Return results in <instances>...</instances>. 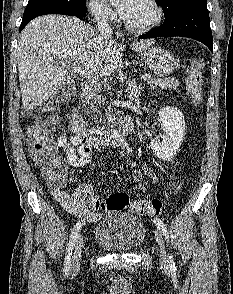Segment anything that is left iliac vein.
<instances>
[{
  "label": "left iliac vein",
  "instance_id": "4c4485c4",
  "mask_svg": "<svg viewBox=\"0 0 233 294\" xmlns=\"http://www.w3.org/2000/svg\"><path fill=\"white\" fill-rule=\"evenodd\" d=\"M156 242L159 246V261L162 267L168 266V256L165 248L164 238L162 232L157 228L154 231Z\"/></svg>",
  "mask_w": 233,
  "mask_h": 294
}]
</instances>
